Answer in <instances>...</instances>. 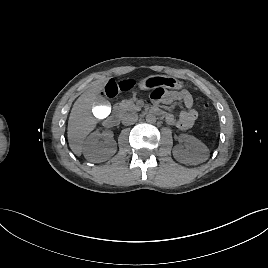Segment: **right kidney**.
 Segmentation results:
<instances>
[{"label":"right kidney","instance_id":"obj_1","mask_svg":"<svg viewBox=\"0 0 268 268\" xmlns=\"http://www.w3.org/2000/svg\"><path fill=\"white\" fill-rule=\"evenodd\" d=\"M103 134L97 130L91 133L83 146L84 157L94 163L104 162L112 157L117 150V144L114 139H106L101 142Z\"/></svg>","mask_w":268,"mask_h":268}]
</instances>
